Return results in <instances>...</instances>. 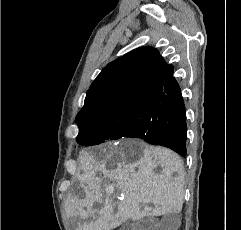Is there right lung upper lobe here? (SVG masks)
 <instances>
[{
	"mask_svg": "<svg viewBox=\"0 0 241 230\" xmlns=\"http://www.w3.org/2000/svg\"><path fill=\"white\" fill-rule=\"evenodd\" d=\"M169 66L152 47L137 48L109 63L87 91L77 124L101 120L113 110L152 103Z\"/></svg>",
	"mask_w": 241,
	"mask_h": 230,
	"instance_id": "cb5924a9",
	"label": "right lung upper lobe"
}]
</instances>
